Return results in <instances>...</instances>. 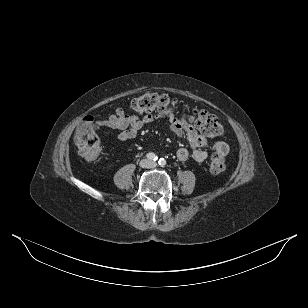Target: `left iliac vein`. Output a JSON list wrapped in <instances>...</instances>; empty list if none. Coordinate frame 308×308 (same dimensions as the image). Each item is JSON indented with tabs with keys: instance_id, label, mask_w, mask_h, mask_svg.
I'll list each match as a JSON object with an SVG mask.
<instances>
[{
	"instance_id": "obj_1",
	"label": "left iliac vein",
	"mask_w": 308,
	"mask_h": 308,
	"mask_svg": "<svg viewBox=\"0 0 308 308\" xmlns=\"http://www.w3.org/2000/svg\"><path fill=\"white\" fill-rule=\"evenodd\" d=\"M151 166H156V163H154V162H151Z\"/></svg>"
}]
</instances>
